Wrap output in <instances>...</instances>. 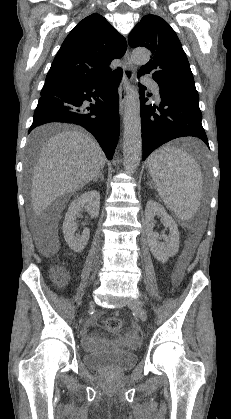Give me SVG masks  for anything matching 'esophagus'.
I'll return each instance as SVG.
<instances>
[{"label":"esophagus","instance_id":"obj_1","mask_svg":"<svg viewBox=\"0 0 231 419\" xmlns=\"http://www.w3.org/2000/svg\"><path fill=\"white\" fill-rule=\"evenodd\" d=\"M123 77L119 85V112L121 115L124 113V108L127 100V96L129 93V86L130 82L133 80L136 67L130 60L129 57V50L127 49L124 57H123Z\"/></svg>","mask_w":231,"mask_h":419}]
</instances>
